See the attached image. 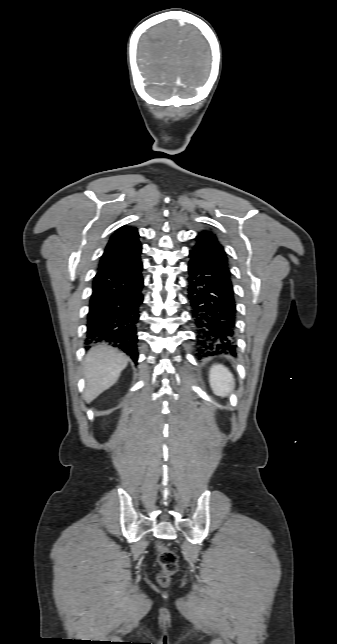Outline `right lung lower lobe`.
I'll return each instance as SVG.
<instances>
[{"label": "right lung lower lobe", "mask_w": 337, "mask_h": 644, "mask_svg": "<svg viewBox=\"0 0 337 644\" xmlns=\"http://www.w3.org/2000/svg\"><path fill=\"white\" fill-rule=\"evenodd\" d=\"M143 267L140 257L99 269L93 280L87 340L109 342L138 359L137 327L143 301Z\"/></svg>", "instance_id": "obj_1"}]
</instances>
